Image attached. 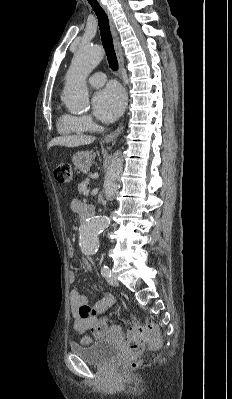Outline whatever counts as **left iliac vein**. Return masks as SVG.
<instances>
[{
    "label": "left iliac vein",
    "mask_w": 232,
    "mask_h": 399,
    "mask_svg": "<svg viewBox=\"0 0 232 399\" xmlns=\"http://www.w3.org/2000/svg\"><path fill=\"white\" fill-rule=\"evenodd\" d=\"M108 282H109V286L120 285L119 283H116V282H117V279H116V278H109V279H108Z\"/></svg>",
    "instance_id": "4c4485c4"
}]
</instances>
